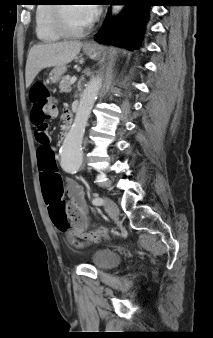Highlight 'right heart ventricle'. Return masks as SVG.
I'll return each mask as SVG.
<instances>
[{
	"mask_svg": "<svg viewBox=\"0 0 213 338\" xmlns=\"http://www.w3.org/2000/svg\"><path fill=\"white\" fill-rule=\"evenodd\" d=\"M35 10V29L37 38L42 42H57L62 36L54 29L53 10L54 5L46 0L38 2Z\"/></svg>",
	"mask_w": 213,
	"mask_h": 338,
	"instance_id": "1",
	"label": "right heart ventricle"
}]
</instances>
